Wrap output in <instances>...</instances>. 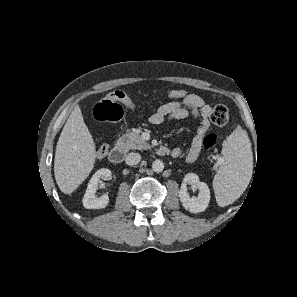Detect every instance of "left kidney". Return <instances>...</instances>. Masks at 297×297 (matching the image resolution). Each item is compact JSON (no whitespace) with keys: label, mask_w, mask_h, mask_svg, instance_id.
I'll return each instance as SVG.
<instances>
[{"label":"left kidney","mask_w":297,"mask_h":297,"mask_svg":"<svg viewBox=\"0 0 297 297\" xmlns=\"http://www.w3.org/2000/svg\"><path fill=\"white\" fill-rule=\"evenodd\" d=\"M191 183L197 186L199 194L197 197H190L187 192V184ZM180 201L183 207L191 213H199L204 211L210 201V190L206 183L199 181L194 173H188L184 177L183 184L179 191Z\"/></svg>","instance_id":"1"}]
</instances>
